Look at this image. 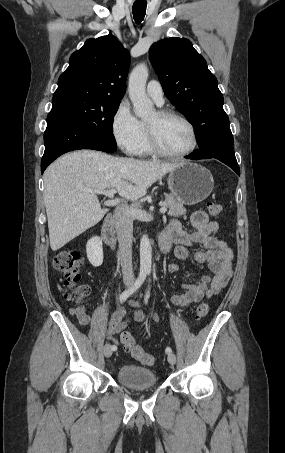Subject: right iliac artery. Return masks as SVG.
<instances>
[{
  "label": "right iliac artery",
  "mask_w": 285,
  "mask_h": 453,
  "mask_svg": "<svg viewBox=\"0 0 285 453\" xmlns=\"http://www.w3.org/2000/svg\"><path fill=\"white\" fill-rule=\"evenodd\" d=\"M145 278H146V273L141 272L139 274V277L137 278L136 282L132 285V287H130L129 289H127L121 293V295L119 296V301L121 303L125 302L131 294H133L138 288L141 287V285L145 281ZM111 348H112V350H116V346H114V345L111 346Z\"/></svg>",
  "instance_id": "obj_1"
}]
</instances>
